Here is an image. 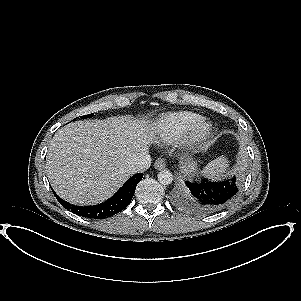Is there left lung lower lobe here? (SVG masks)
<instances>
[{
	"label": "left lung lower lobe",
	"mask_w": 301,
	"mask_h": 301,
	"mask_svg": "<svg viewBox=\"0 0 301 301\" xmlns=\"http://www.w3.org/2000/svg\"><path fill=\"white\" fill-rule=\"evenodd\" d=\"M180 196L181 202L198 212H214L229 205L241 187L239 179L233 177L222 182L186 181Z\"/></svg>",
	"instance_id": "left-lung-lower-lobe-1"
}]
</instances>
